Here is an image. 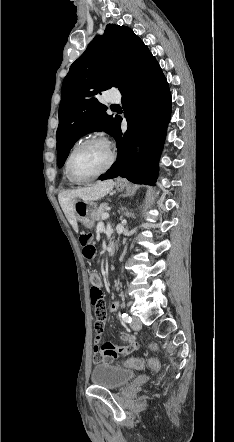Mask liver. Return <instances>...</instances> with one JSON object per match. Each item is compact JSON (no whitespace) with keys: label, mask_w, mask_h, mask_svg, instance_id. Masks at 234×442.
<instances>
[{"label":"liver","mask_w":234,"mask_h":442,"mask_svg":"<svg viewBox=\"0 0 234 442\" xmlns=\"http://www.w3.org/2000/svg\"><path fill=\"white\" fill-rule=\"evenodd\" d=\"M113 187V180H105L89 187H84L77 190L63 191L59 194L58 199L61 208L75 232L78 233L77 219L74 210V204L77 199L93 202L103 198L113 189Z\"/></svg>","instance_id":"1"}]
</instances>
